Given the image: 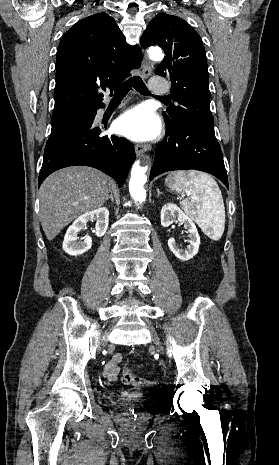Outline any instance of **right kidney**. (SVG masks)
<instances>
[{
    "label": "right kidney",
    "instance_id": "ca27d5eb",
    "mask_svg": "<svg viewBox=\"0 0 279 465\" xmlns=\"http://www.w3.org/2000/svg\"><path fill=\"white\" fill-rule=\"evenodd\" d=\"M96 220L95 235L102 237L107 231L109 223V210L105 207L86 212L79 216L68 228L64 241L63 250L72 256H77L88 251L92 246V238L85 236L82 241H78V233L82 230L87 222Z\"/></svg>",
    "mask_w": 279,
    "mask_h": 465
}]
</instances>
